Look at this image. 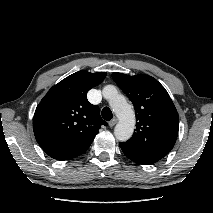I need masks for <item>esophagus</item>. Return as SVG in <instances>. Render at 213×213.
Returning <instances> with one entry per match:
<instances>
[{
	"label": "esophagus",
	"instance_id": "34e87169",
	"mask_svg": "<svg viewBox=\"0 0 213 213\" xmlns=\"http://www.w3.org/2000/svg\"><path fill=\"white\" fill-rule=\"evenodd\" d=\"M117 118H113L110 122H109V126L110 127H113V126H115V124L117 123Z\"/></svg>",
	"mask_w": 213,
	"mask_h": 213
}]
</instances>
